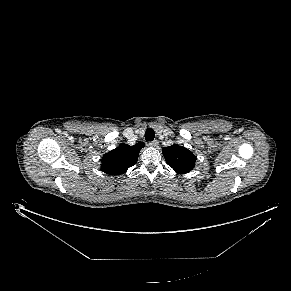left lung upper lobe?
Wrapping results in <instances>:
<instances>
[{
    "mask_svg": "<svg viewBox=\"0 0 291 291\" xmlns=\"http://www.w3.org/2000/svg\"><path fill=\"white\" fill-rule=\"evenodd\" d=\"M167 164L177 173L185 174L193 170L196 156L185 147L173 144L162 149Z\"/></svg>",
    "mask_w": 291,
    "mask_h": 291,
    "instance_id": "obj_1",
    "label": "left lung upper lobe"
}]
</instances>
